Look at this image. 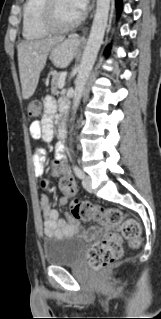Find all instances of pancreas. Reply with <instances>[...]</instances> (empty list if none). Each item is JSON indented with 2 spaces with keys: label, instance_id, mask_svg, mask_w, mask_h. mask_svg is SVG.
Returning <instances> with one entry per match:
<instances>
[{
  "label": "pancreas",
  "instance_id": "obj_1",
  "mask_svg": "<svg viewBox=\"0 0 161 319\" xmlns=\"http://www.w3.org/2000/svg\"><path fill=\"white\" fill-rule=\"evenodd\" d=\"M60 75L61 73H54L52 75V81H51V91L53 94L57 95L59 94V81H60Z\"/></svg>",
  "mask_w": 161,
  "mask_h": 319
}]
</instances>
